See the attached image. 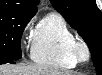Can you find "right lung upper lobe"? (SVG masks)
<instances>
[{
    "label": "right lung upper lobe",
    "mask_w": 102,
    "mask_h": 75,
    "mask_svg": "<svg viewBox=\"0 0 102 75\" xmlns=\"http://www.w3.org/2000/svg\"><path fill=\"white\" fill-rule=\"evenodd\" d=\"M39 0H0V11H13L34 15Z\"/></svg>",
    "instance_id": "cb5924a9"
}]
</instances>
